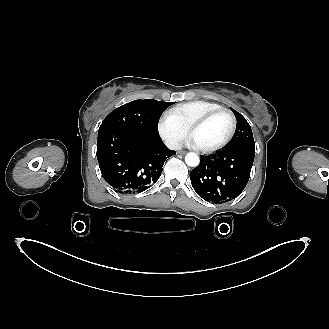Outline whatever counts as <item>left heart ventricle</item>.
Segmentation results:
<instances>
[{"label": "left heart ventricle", "mask_w": 329, "mask_h": 329, "mask_svg": "<svg viewBox=\"0 0 329 329\" xmlns=\"http://www.w3.org/2000/svg\"><path fill=\"white\" fill-rule=\"evenodd\" d=\"M231 128V120L226 114H219L194 130L191 137L198 147H210L223 141Z\"/></svg>", "instance_id": "b2bd125f"}]
</instances>
